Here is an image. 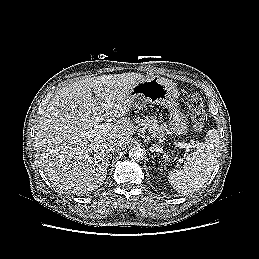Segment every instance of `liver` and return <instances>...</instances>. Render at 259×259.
<instances>
[{
    "label": "liver",
    "instance_id": "6515ba94",
    "mask_svg": "<svg viewBox=\"0 0 259 259\" xmlns=\"http://www.w3.org/2000/svg\"><path fill=\"white\" fill-rule=\"evenodd\" d=\"M144 79L134 72L109 74L83 78L58 91L34 138L37 158L52 184L73 194H87L103 184L111 157L108 141L120 140L122 147L130 143L135 127L125 117L131 109L128 94ZM116 118L109 131L85 134Z\"/></svg>",
    "mask_w": 259,
    "mask_h": 259
}]
</instances>
